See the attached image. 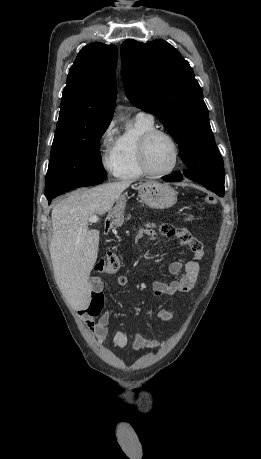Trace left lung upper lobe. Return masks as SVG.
I'll return each instance as SVG.
<instances>
[{"label":"left lung upper lobe","mask_w":261,"mask_h":459,"mask_svg":"<svg viewBox=\"0 0 261 459\" xmlns=\"http://www.w3.org/2000/svg\"><path fill=\"white\" fill-rule=\"evenodd\" d=\"M122 78L127 98L154 113L180 147L188 178L224 176L223 160L209 124L201 87L189 63L170 44L128 39L121 46Z\"/></svg>","instance_id":"5c2ea615"}]
</instances>
